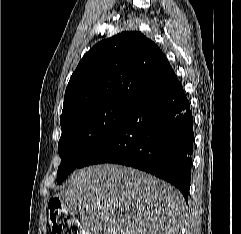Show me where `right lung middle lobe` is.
Listing matches in <instances>:
<instances>
[{"instance_id":"obj_1","label":"right lung middle lobe","mask_w":241,"mask_h":234,"mask_svg":"<svg viewBox=\"0 0 241 234\" xmlns=\"http://www.w3.org/2000/svg\"><path fill=\"white\" fill-rule=\"evenodd\" d=\"M132 105L122 101L95 104L73 111L60 120L58 184L80 167L88 153L121 122Z\"/></svg>"}]
</instances>
